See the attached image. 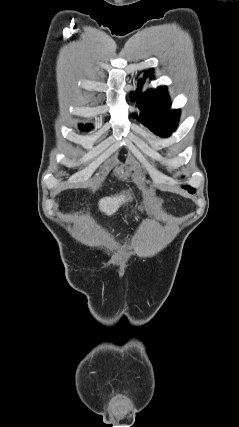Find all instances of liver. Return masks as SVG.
<instances>
[{"label": "liver", "mask_w": 239, "mask_h": 427, "mask_svg": "<svg viewBox=\"0 0 239 427\" xmlns=\"http://www.w3.org/2000/svg\"><path fill=\"white\" fill-rule=\"evenodd\" d=\"M131 200H132V196L129 193V191L126 192V194L125 192H123V193H120L119 195L105 197L99 201V209L102 212L106 213L107 215H112L118 210V208L122 204Z\"/></svg>", "instance_id": "liver-1"}]
</instances>
